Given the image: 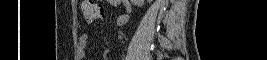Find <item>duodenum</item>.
<instances>
[{
    "label": "duodenum",
    "instance_id": "obj_1",
    "mask_svg": "<svg viewBox=\"0 0 267 60\" xmlns=\"http://www.w3.org/2000/svg\"><path fill=\"white\" fill-rule=\"evenodd\" d=\"M117 2H126V1H124V0H119V1H117Z\"/></svg>",
    "mask_w": 267,
    "mask_h": 60
}]
</instances>
